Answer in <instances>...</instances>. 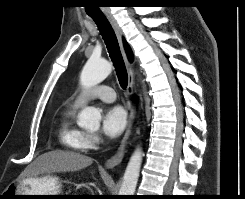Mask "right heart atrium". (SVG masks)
<instances>
[{
	"label": "right heart atrium",
	"mask_w": 245,
	"mask_h": 199,
	"mask_svg": "<svg viewBox=\"0 0 245 199\" xmlns=\"http://www.w3.org/2000/svg\"><path fill=\"white\" fill-rule=\"evenodd\" d=\"M100 143V138L95 133H88L87 134V145L89 148H95Z\"/></svg>",
	"instance_id": "d8ad5b80"
}]
</instances>
